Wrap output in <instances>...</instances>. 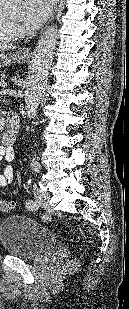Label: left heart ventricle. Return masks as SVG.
Returning <instances> with one entry per match:
<instances>
[{"label": "left heart ventricle", "instance_id": "obj_1", "mask_svg": "<svg viewBox=\"0 0 129 309\" xmlns=\"http://www.w3.org/2000/svg\"><path fill=\"white\" fill-rule=\"evenodd\" d=\"M11 20H12L13 22L19 24L20 21H21V17H20V16H12V17H11Z\"/></svg>", "mask_w": 129, "mask_h": 309}]
</instances>
